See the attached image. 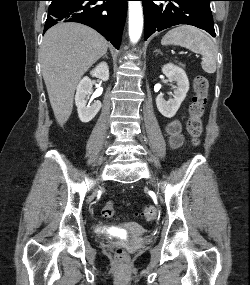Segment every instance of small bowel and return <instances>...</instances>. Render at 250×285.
<instances>
[{
  "label": "small bowel",
  "mask_w": 250,
  "mask_h": 285,
  "mask_svg": "<svg viewBox=\"0 0 250 285\" xmlns=\"http://www.w3.org/2000/svg\"><path fill=\"white\" fill-rule=\"evenodd\" d=\"M169 143L173 148H178L183 143L181 124L178 120L171 121L166 127Z\"/></svg>",
  "instance_id": "c3829d8e"
}]
</instances>
